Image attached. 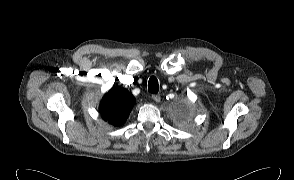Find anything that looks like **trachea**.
<instances>
[{"label":"trachea","instance_id":"1","mask_svg":"<svg viewBox=\"0 0 294 180\" xmlns=\"http://www.w3.org/2000/svg\"><path fill=\"white\" fill-rule=\"evenodd\" d=\"M158 90H159L158 80L154 76L150 77L148 81V91L150 93L156 94L158 93Z\"/></svg>","mask_w":294,"mask_h":180}]
</instances>
